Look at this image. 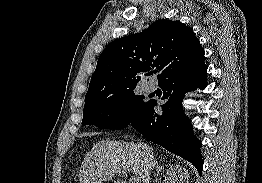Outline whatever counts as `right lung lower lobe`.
Wrapping results in <instances>:
<instances>
[{"label":"right lung lower lobe","instance_id":"1","mask_svg":"<svg viewBox=\"0 0 262 183\" xmlns=\"http://www.w3.org/2000/svg\"><path fill=\"white\" fill-rule=\"evenodd\" d=\"M207 66L205 63L191 70L172 75L159 86L163 90L162 112L156 113V100H150L139 115L131 122L147 140L157 143L168 151L191 162L202 173L203 160L200 154L201 143L194 136L189 119L183 114L181 102L184 94L199 87L207 86Z\"/></svg>","mask_w":262,"mask_h":183}]
</instances>
